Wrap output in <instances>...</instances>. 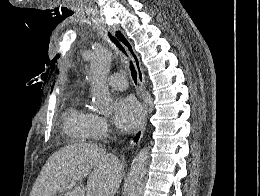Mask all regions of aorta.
<instances>
[{
  "label": "aorta",
  "instance_id": "aorta-1",
  "mask_svg": "<svg viewBox=\"0 0 260 196\" xmlns=\"http://www.w3.org/2000/svg\"><path fill=\"white\" fill-rule=\"evenodd\" d=\"M111 62L112 53L105 48L96 50L91 60L92 100L95 108L102 113H107L111 108L112 98L106 83ZM149 163V147H144L132 161L126 196L143 195Z\"/></svg>",
  "mask_w": 260,
  "mask_h": 196
}]
</instances>
